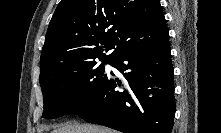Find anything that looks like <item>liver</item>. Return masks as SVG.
<instances>
[{"mask_svg":"<svg viewBox=\"0 0 221 133\" xmlns=\"http://www.w3.org/2000/svg\"><path fill=\"white\" fill-rule=\"evenodd\" d=\"M51 133H115L113 130L93 125L66 123L54 129Z\"/></svg>","mask_w":221,"mask_h":133,"instance_id":"obj_1","label":"liver"}]
</instances>
